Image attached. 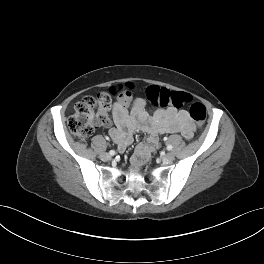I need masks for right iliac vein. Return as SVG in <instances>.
<instances>
[{
    "label": "right iliac vein",
    "mask_w": 264,
    "mask_h": 264,
    "mask_svg": "<svg viewBox=\"0 0 264 264\" xmlns=\"http://www.w3.org/2000/svg\"><path fill=\"white\" fill-rule=\"evenodd\" d=\"M100 157H101V159L104 160V161H109V160L111 159V156H110V154H108V153H102V154L100 155Z\"/></svg>",
    "instance_id": "obj_1"
}]
</instances>
